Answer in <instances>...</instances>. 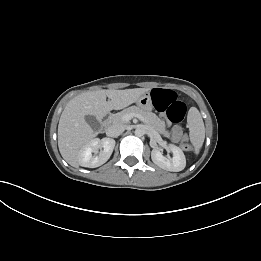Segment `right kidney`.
Listing matches in <instances>:
<instances>
[{
	"label": "right kidney",
	"mask_w": 261,
	"mask_h": 261,
	"mask_svg": "<svg viewBox=\"0 0 261 261\" xmlns=\"http://www.w3.org/2000/svg\"><path fill=\"white\" fill-rule=\"evenodd\" d=\"M115 141L110 138L92 139L85 144L79 152V164L83 167L96 168L104 164L110 158ZM99 149L100 154L97 155ZM93 153H95L93 155Z\"/></svg>",
	"instance_id": "1"
}]
</instances>
